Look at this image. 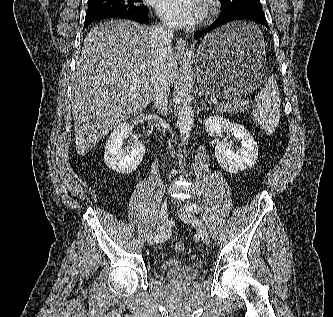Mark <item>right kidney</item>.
Wrapping results in <instances>:
<instances>
[{
	"label": "right kidney",
	"mask_w": 333,
	"mask_h": 317,
	"mask_svg": "<svg viewBox=\"0 0 333 317\" xmlns=\"http://www.w3.org/2000/svg\"><path fill=\"white\" fill-rule=\"evenodd\" d=\"M133 127L127 122L119 124L110 134L105 145L104 160L108 168L130 174L137 169L145 154V146L136 144L131 151L123 148V141L132 134Z\"/></svg>",
	"instance_id": "right-kidney-1"
}]
</instances>
